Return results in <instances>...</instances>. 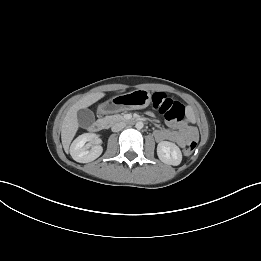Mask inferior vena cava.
Listing matches in <instances>:
<instances>
[{
	"label": "inferior vena cava",
	"mask_w": 261,
	"mask_h": 261,
	"mask_svg": "<svg viewBox=\"0 0 261 261\" xmlns=\"http://www.w3.org/2000/svg\"><path fill=\"white\" fill-rule=\"evenodd\" d=\"M125 126H126V124L124 122L120 121V122L115 123L112 126L111 130L113 132H118V131H121Z\"/></svg>",
	"instance_id": "1"
}]
</instances>
